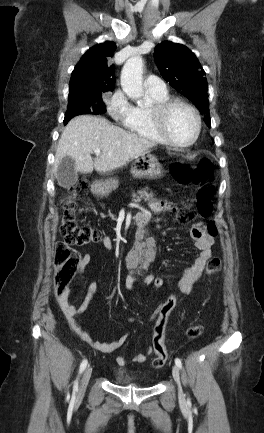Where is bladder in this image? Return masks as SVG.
Segmentation results:
<instances>
[{
  "instance_id": "31cf9c89",
  "label": "bladder",
  "mask_w": 264,
  "mask_h": 433,
  "mask_svg": "<svg viewBox=\"0 0 264 433\" xmlns=\"http://www.w3.org/2000/svg\"><path fill=\"white\" fill-rule=\"evenodd\" d=\"M115 382L118 384H136L137 378H135L133 375H131L128 371L120 369L117 370L115 373Z\"/></svg>"
}]
</instances>
